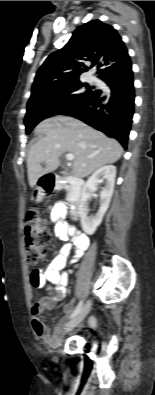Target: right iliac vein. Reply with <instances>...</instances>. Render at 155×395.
I'll return each instance as SVG.
<instances>
[{
    "mask_svg": "<svg viewBox=\"0 0 155 395\" xmlns=\"http://www.w3.org/2000/svg\"><path fill=\"white\" fill-rule=\"evenodd\" d=\"M90 309H91V301L88 300L84 305V307L81 309V311L66 324L65 332H69L70 330L75 328L78 324H80L87 316Z\"/></svg>",
    "mask_w": 155,
    "mask_h": 395,
    "instance_id": "right-iliac-vein-1",
    "label": "right iliac vein"
}]
</instances>
